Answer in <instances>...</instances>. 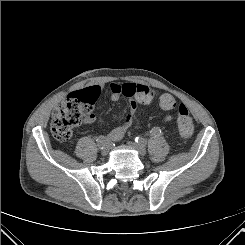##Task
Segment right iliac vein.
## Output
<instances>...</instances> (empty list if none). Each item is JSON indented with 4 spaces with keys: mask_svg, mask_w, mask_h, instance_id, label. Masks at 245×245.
<instances>
[{
    "mask_svg": "<svg viewBox=\"0 0 245 245\" xmlns=\"http://www.w3.org/2000/svg\"><path fill=\"white\" fill-rule=\"evenodd\" d=\"M108 152H109V149L107 151H104L103 148L101 149V154L103 156H106L108 154Z\"/></svg>",
    "mask_w": 245,
    "mask_h": 245,
    "instance_id": "right-iliac-vein-1",
    "label": "right iliac vein"
}]
</instances>
